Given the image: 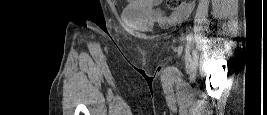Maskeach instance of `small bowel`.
I'll list each match as a JSON object with an SVG mask.
<instances>
[{
  "label": "small bowel",
  "mask_w": 267,
  "mask_h": 115,
  "mask_svg": "<svg viewBox=\"0 0 267 115\" xmlns=\"http://www.w3.org/2000/svg\"><path fill=\"white\" fill-rule=\"evenodd\" d=\"M160 3H161V0H135V1L130 2L129 7L132 9L144 10L150 15L158 19L166 18L163 12L158 8ZM191 8H192V4L183 6L178 11L172 13V15L170 16V19L180 20V19L185 18L190 13Z\"/></svg>",
  "instance_id": "1"
}]
</instances>
